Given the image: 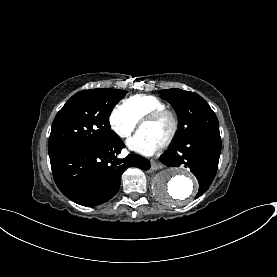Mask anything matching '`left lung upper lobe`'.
<instances>
[{"mask_svg":"<svg viewBox=\"0 0 277 277\" xmlns=\"http://www.w3.org/2000/svg\"><path fill=\"white\" fill-rule=\"evenodd\" d=\"M160 94L178 115V133L173 144L203 133L219 132L214 111L200 95L175 88L161 90Z\"/></svg>","mask_w":277,"mask_h":277,"instance_id":"obj_1","label":"left lung upper lobe"}]
</instances>
